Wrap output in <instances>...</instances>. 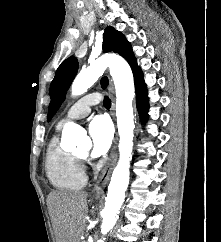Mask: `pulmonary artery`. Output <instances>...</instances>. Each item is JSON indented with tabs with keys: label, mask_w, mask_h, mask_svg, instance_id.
<instances>
[{
	"label": "pulmonary artery",
	"mask_w": 221,
	"mask_h": 242,
	"mask_svg": "<svg viewBox=\"0 0 221 242\" xmlns=\"http://www.w3.org/2000/svg\"><path fill=\"white\" fill-rule=\"evenodd\" d=\"M100 102V95L98 93H91L81 97L75 102L59 120L57 127H62L69 120H77L87 116L91 111V106Z\"/></svg>",
	"instance_id": "1"
}]
</instances>
